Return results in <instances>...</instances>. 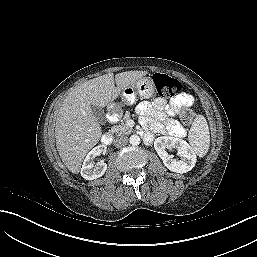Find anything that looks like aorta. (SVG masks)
<instances>
[{"label":"aorta","instance_id":"aorta-1","mask_svg":"<svg viewBox=\"0 0 257 257\" xmlns=\"http://www.w3.org/2000/svg\"><path fill=\"white\" fill-rule=\"evenodd\" d=\"M131 145L136 146L140 144V137L138 135H131L129 138Z\"/></svg>","mask_w":257,"mask_h":257}]
</instances>
